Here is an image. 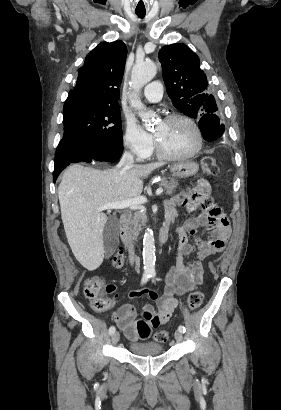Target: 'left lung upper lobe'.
<instances>
[{"instance_id": "obj_1", "label": "left lung upper lobe", "mask_w": 281, "mask_h": 410, "mask_svg": "<svg viewBox=\"0 0 281 410\" xmlns=\"http://www.w3.org/2000/svg\"><path fill=\"white\" fill-rule=\"evenodd\" d=\"M163 78L172 104L192 118L213 114L217 106L209 94L207 77L200 69L199 57L186 45H166L159 51Z\"/></svg>"}]
</instances>
